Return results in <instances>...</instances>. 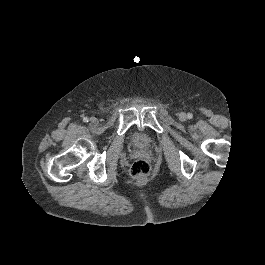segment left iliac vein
<instances>
[{
  "label": "left iliac vein",
  "instance_id": "4c4485c4",
  "mask_svg": "<svg viewBox=\"0 0 265 265\" xmlns=\"http://www.w3.org/2000/svg\"><path fill=\"white\" fill-rule=\"evenodd\" d=\"M186 118H187V117H186V114H185V113L182 112V113L179 114V119H180L181 121L186 120Z\"/></svg>",
  "mask_w": 265,
  "mask_h": 265
}]
</instances>
